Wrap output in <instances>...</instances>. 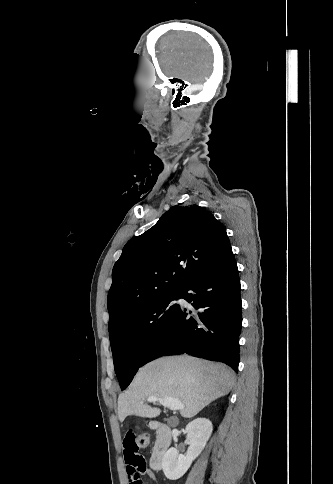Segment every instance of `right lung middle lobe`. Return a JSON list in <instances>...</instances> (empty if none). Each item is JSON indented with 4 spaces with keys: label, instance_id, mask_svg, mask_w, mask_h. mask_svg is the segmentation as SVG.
<instances>
[{
    "label": "right lung middle lobe",
    "instance_id": "dd1d6c3e",
    "mask_svg": "<svg viewBox=\"0 0 333 484\" xmlns=\"http://www.w3.org/2000/svg\"><path fill=\"white\" fill-rule=\"evenodd\" d=\"M180 291L151 299L108 326L114 368L122 390L140 367L148 348L178 308Z\"/></svg>",
    "mask_w": 333,
    "mask_h": 484
}]
</instances>
